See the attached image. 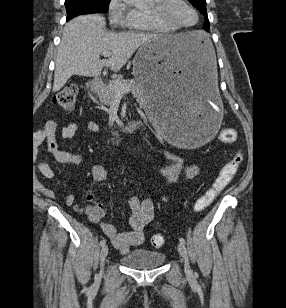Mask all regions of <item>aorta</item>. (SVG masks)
I'll use <instances>...</instances> for the list:
<instances>
[{
    "mask_svg": "<svg viewBox=\"0 0 286 308\" xmlns=\"http://www.w3.org/2000/svg\"><path fill=\"white\" fill-rule=\"evenodd\" d=\"M123 1L128 4H138L143 2L144 0H123Z\"/></svg>",
    "mask_w": 286,
    "mask_h": 308,
    "instance_id": "aorta-1",
    "label": "aorta"
}]
</instances>
